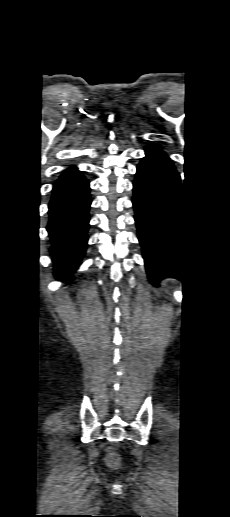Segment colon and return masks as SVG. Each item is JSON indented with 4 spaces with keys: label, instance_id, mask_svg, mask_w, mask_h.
<instances>
[{
    "label": "colon",
    "instance_id": "obj_1",
    "mask_svg": "<svg viewBox=\"0 0 230 517\" xmlns=\"http://www.w3.org/2000/svg\"><path fill=\"white\" fill-rule=\"evenodd\" d=\"M107 465L111 468H118L120 465V458L114 451H109L106 457Z\"/></svg>",
    "mask_w": 230,
    "mask_h": 517
}]
</instances>
